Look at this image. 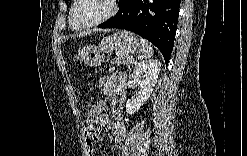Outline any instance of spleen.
I'll use <instances>...</instances> for the list:
<instances>
[{
  "instance_id": "3e777b00",
  "label": "spleen",
  "mask_w": 247,
  "mask_h": 156,
  "mask_svg": "<svg viewBox=\"0 0 247 156\" xmlns=\"http://www.w3.org/2000/svg\"><path fill=\"white\" fill-rule=\"evenodd\" d=\"M140 45H141V49H140L141 56L140 57L150 58L154 53L151 44L147 40L140 38Z\"/></svg>"
}]
</instances>
